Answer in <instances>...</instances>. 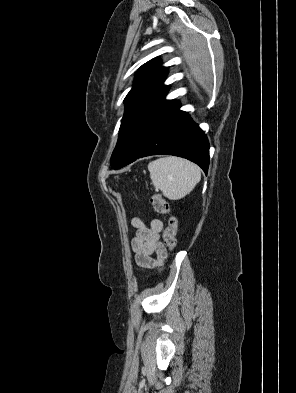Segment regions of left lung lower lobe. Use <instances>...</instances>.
I'll return each mask as SVG.
<instances>
[{"label":"left lung lower lobe","instance_id":"0a47b994","mask_svg":"<svg viewBox=\"0 0 296 393\" xmlns=\"http://www.w3.org/2000/svg\"><path fill=\"white\" fill-rule=\"evenodd\" d=\"M173 101L148 126L125 165L150 155H175L198 164L205 173L209 166V143L204 132L187 112Z\"/></svg>","mask_w":296,"mask_h":393}]
</instances>
